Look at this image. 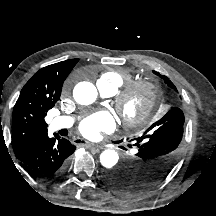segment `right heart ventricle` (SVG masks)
I'll list each match as a JSON object with an SVG mask.
<instances>
[{"label":"right heart ventricle","instance_id":"1","mask_svg":"<svg viewBox=\"0 0 216 216\" xmlns=\"http://www.w3.org/2000/svg\"><path fill=\"white\" fill-rule=\"evenodd\" d=\"M131 75L124 69H112L104 71L98 81L107 85L113 93L130 81Z\"/></svg>","mask_w":216,"mask_h":216}]
</instances>
